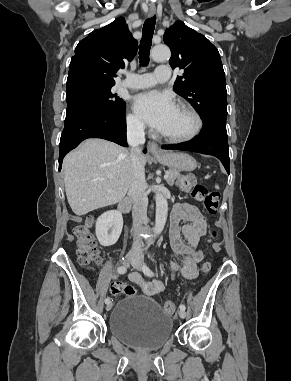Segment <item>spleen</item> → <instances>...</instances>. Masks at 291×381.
Listing matches in <instances>:
<instances>
[{
  "instance_id": "3e777b00",
  "label": "spleen",
  "mask_w": 291,
  "mask_h": 381,
  "mask_svg": "<svg viewBox=\"0 0 291 381\" xmlns=\"http://www.w3.org/2000/svg\"><path fill=\"white\" fill-rule=\"evenodd\" d=\"M215 188H216V189H219V186H218V185H215Z\"/></svg>"
}]
</instances>
